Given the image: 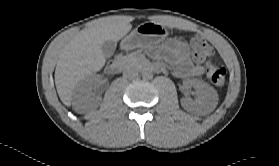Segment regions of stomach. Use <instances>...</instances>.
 <instances>
[{
	"mask_svg": "<svg viewBox=\"0 0 279 166\" xmlns=\"http://www.w3.org/2000/svg\"><path fill=\"white\" fill-rule=\"evenodd\" d=\"M167 35V29L159 23H142L123 38L121 48L129 51L136 48L153 47L163 42Z\"/></svg>",
	"mask_w": 279,
	"mask_h": 166,
	"instance_id": "0dacf381",
	"label": "stomach"
}]
</instances>
